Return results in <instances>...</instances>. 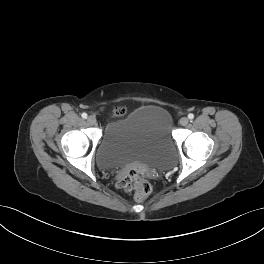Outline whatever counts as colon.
Masks as SVG:
<instances>
[{
	"mask_svg": "<svg viewBox=\"0 0 264 264\" xmlns=\"http://www.w3.org/2000/svg\"><path fill=\"white\" fill-rule=\"evenodd\" d=\"M125 113L124 108H117L115 114L122 116ZM120 185L130 191L133 190L136 194L137 199H143L151 192V184L145 179L139 171L131 170L121 181Z\"/></svg>",
	"mask_w": 264,
	"mask_h": 264,
	"instance_id": "colon-1",
	"label": "colon"
}]
</instances>
